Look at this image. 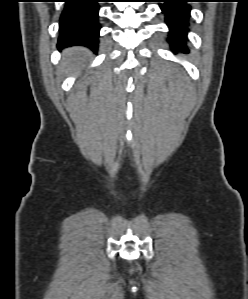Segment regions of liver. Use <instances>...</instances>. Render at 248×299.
Segmentation results:
<instances>
[{"mask_svg": "<svg viewBox=\"0 0 248 299\" xmlns=\"http://www.w3.org/2000/svg\"><path fill=\"white\" fill-rule=\"evenodd\" d=\"M89 51L83 47L68 48L63 53L61 67L63 70L80 71L84 67V62Z\"/></svg>", "mask_w": 248, "mask_h": 299, "instance_id": "1", "label": "liver"}]
</instances>
